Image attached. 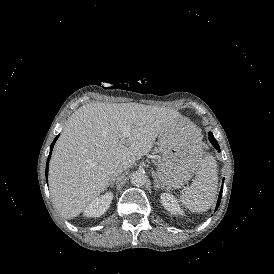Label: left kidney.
Instances as JSON below:
<instances>
[{
  "mask_svg": "<svg viewBox=\"0 0 274 274\" xmlns=\"http://www.w3.org/2000/svg\"><path fill=\"white\" fill-rule=\"evenodd\" d=\"M160 198L164 208L168 210L171 214L184 215V211L178 204V200L173 195L168 193H162Z\"/></svg>",
  "mask_w": 274,
  "mask_h": 274,
  "instance_id": "left-kidney-1",
  "label": "left kidney"
}]
</instances>
